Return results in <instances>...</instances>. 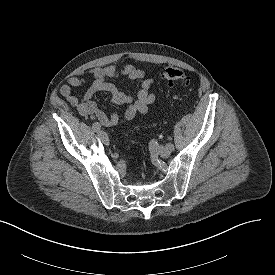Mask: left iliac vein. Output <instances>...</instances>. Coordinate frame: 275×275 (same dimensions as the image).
<instances>
[{
    "label": "left iliac vein",
    "instance_id": "4c4485c4",
    "mask_svg": "<svg viewBox=\"0 0 275 275\" xmlns=\"http://www.w3.org/2000/svg\"><path fill=\"white\" fill-rule=\"evenodd\" d=\"M172 150H170L167 146H160L158 149V153L161 157H168Z\"/></svg>",
    "mask_w": 275,
    "mask_h": 275
}]
</instances>
